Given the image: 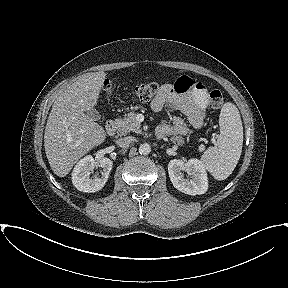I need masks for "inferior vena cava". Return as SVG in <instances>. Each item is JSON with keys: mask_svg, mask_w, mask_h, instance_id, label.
Here are the masks:
<instances>
[{"mask_svg": "<svg viewBox=\"0 0 288 288\" xmlns=\"http://www.w3.org/2000/svg\"><path fill=\"white\" fill-rule=\"evenodd\" d=\"M133 140H134L133 137L127 136V137H124V138H119L116 141V144L118 146H120V147L126 148L133 142Z\"/></svg>", "mask_w": 288, "mask_h": 288, "instance_id": "inferior-vena-cava-1", "label": "inferior vena cava"}]
</instances>
